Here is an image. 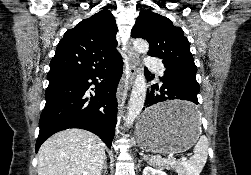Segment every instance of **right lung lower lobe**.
<instances>
[{"instance_id":"obj_1","label":"right lung lower lobe","mask_w":251,"mask_h":175,"mask_svg":"<svg viewBox=\"0 0 251 175\" xmlns=\"http://www.w3.org/2000/svg\"><path fill=\"white\" fill-rule=\"evenodd\" d=\"M121 73L122 60L119 58L103 69L50 79L39 121L36 152L51 135L68 128L91 131L110 148L115 132L116 89ZM91 85H95V95L90 94L89 100L86 91Z\"/></svg>"}]
</instances>
